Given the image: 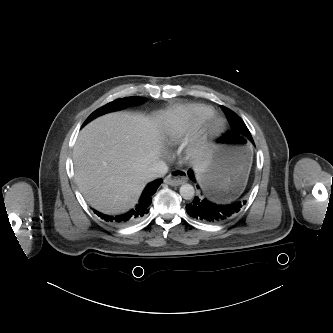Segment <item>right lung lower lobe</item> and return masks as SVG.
I'll return each mask as SVG.
<instances>
[{"label": "right lung lower lobe", "instance_id": "98d812e1", "mask_svg": "<svg viewBox=\"0 0 333 333\" xmlns=\"http://www.w3.org/2000/svg\"><path fill=\"white\" fill-rule=\"evenodd\" d=\"M162 182V179H157L150 182L142 192L139 203L136 205V207L125 214L111 216L100 213L96 210H94V212L106 222L115 225H127L134 223L149 212V207L152 202V196Z\"/></svg>", "mask_w": 333, "mask_h": 333}]
</instances>
